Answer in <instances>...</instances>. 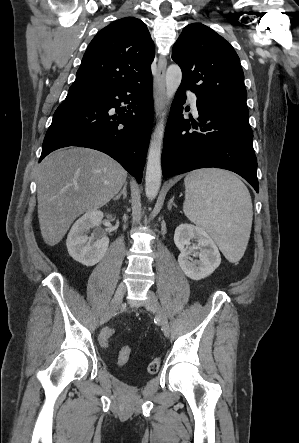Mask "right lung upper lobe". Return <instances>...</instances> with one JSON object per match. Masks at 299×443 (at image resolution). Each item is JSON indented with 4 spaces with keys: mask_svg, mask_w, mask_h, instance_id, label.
I'll list each match as a JSON object with an SVG mask.
<instances>
[{
    "mask_svg": "<svg viewBox=\"0 0 299 443\" xmlns=\"http://www.w3.org/2000/svg\"><path fill=\"white\" fill-rule=\"evenodd\" d=\"M154 55L145 23L134 17L119 19L90 42L70 88L97 90L151 77Z\"/></svg>",
    "mask_w": 299,
    "mask_h": 443,
    "instance_id": "right-lung-upper-lobe-1",
    "label": "right lung upper lobe"
}]
</instances>
